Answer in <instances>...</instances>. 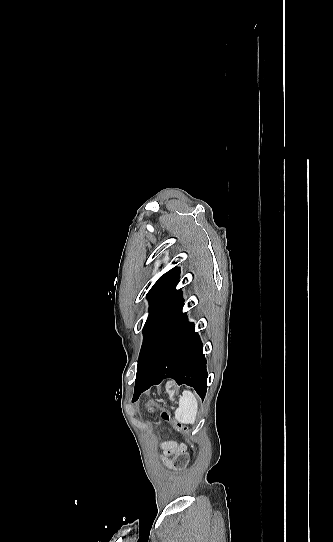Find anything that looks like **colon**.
<instances>
[{
    "label": "colon",
    "mask_w": 333,
    "mask_h": 542,
    "mask_svg": "<svg viewBox=\"0 0 333 542\" xmlns=\"http://www.w3.org/2000/svg\"><path fill=\"white\" fill-rule=\"evenodd\" d=\"M153 406V402L150 401L148 403V407H152ZM161 418L163 421H166V422H169L171 420V416L170 414L167 412V411H163L162 414H161ZM175 430L178 431V432H181V433H184L186 434L187 436L190 435V432L185 429L183 426H181L180 424H176L174 426ZM180 458H181V453H178L176 454L169 462V465L177 468L179 465H180Z\"/></svg>",
    "instance_id": "obj_1"
}]
</instances>
